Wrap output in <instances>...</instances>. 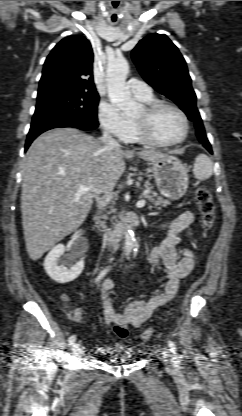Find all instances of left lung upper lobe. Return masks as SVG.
<instances>
[{
  "instance_id": "5c2ea615",
  "label": "left lung upper lobe",
  "mask_w": 242,
  "mask_h": 416,
  "mask_svg": "<svg viewBox=\"0 0 242 416\" xmlns=\"http://www.w3.org/2000/svg\"><path fill=\"white\" fill-rule=\"evenodd\" d=\"M132 59L144 80L173 100L195 123L198 139L208 141L186 62L172 41L164 34H150L133 49Z\"/></svg>"
}]
</instances>
